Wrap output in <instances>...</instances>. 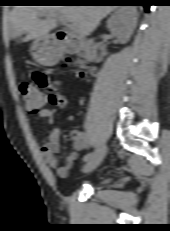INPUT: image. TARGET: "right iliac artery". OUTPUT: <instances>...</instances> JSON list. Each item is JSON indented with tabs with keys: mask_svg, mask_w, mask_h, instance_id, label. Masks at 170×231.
I'll return each mask as SVG.
<instances>
[{
	"mask_svg": "<svg viewBox=\"0 0 170 231\" xmlns=\"http://www.w3.org/2000/svg\"><path fill=\"white\" fill-rule=\"evenodd\" d=\"M93 155L94 153H88L87 155L83 157V161L87 162Z\"/></svg>",
	"mask_w": 170,
	"mask_h": 231,
	"instance_id": "obj_1",
	"label": "right iliac artery"
}]
</instances>
